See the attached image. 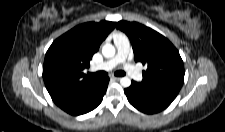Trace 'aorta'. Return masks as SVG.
<instances>
[{
    "label": "aorta",
    "mask_w": 225,
    "mask_h": 132,
    "mask_svg": "<svg viewBox=\"0 0 225 132\" xmlns=\"http://www.w3.org/2000/svg\"><path fill=\"white\" fill-rule=\"evenodd\" d=\"M116 49L112 44H105L102 47V54L105 58H111L115 55ZM120 84L122 87L127 88L131 85V79L129 77H122L120 79Z\"/></svg>",
    "instance_id": "1"
}]
</instances>
